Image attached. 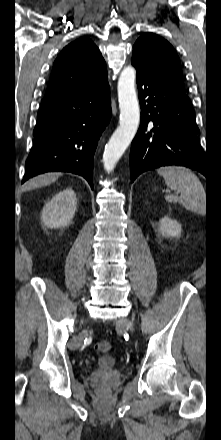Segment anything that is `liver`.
<instances>
[{
	"mask_svg": "<svg viewBox=\"0 0 221 440\" xmlns=\"http://www.w3.org/2000/svg\"><path fill=\"white\" fill-rule=\"evenodd\" d=\"M61 174L60 173H47L37 176L25 184V190H31L38 187L46 186L54 182Z\"/></svg>",
	"mask_w": 221,
	"mask_h": 440,
	"instance_id": "6515ba94",
	"label": "liver"
}]
</instances>
